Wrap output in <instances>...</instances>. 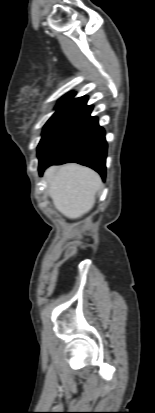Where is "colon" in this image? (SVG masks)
Listing matches in <instances>:
<instances>
[{
  "label": "colon",
  "mask_w": 155,
  "mask_h": 413,
  "mask_svg": "<svg viewBox=\"0 0 155 413\" xmlns=\"http://www.w3.org/2000/svg\"><path fill=\"white\" fill-rule=\"evenodd\" d=\"M78 246H71L68 249H66L64 253V259L66 261L72 260L78 253Z\"/></svg>",
  "instance_id": "5ec220e1"
}]
</instances>
